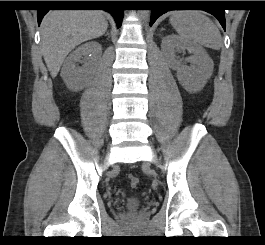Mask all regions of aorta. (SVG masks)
<instances>
[{"label": "aorta", "instance_id": "762f6f07", "mask_svg": "<svg viewBox=\"0 0 265 245\" xmlns=\"http://www.w3.org/2000/svg\"><path fill=\"white\" fill-rule=\"evenodd\" d=\"M139 15L143 20H147L149 17V10H140Z\"/></svg>", "mask_w": 265, "mask_h": 245}]
</instances>
